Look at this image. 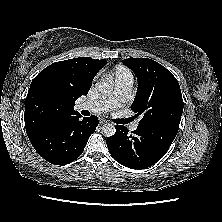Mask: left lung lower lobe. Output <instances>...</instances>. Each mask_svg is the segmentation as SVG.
I'll return each instance as SVG.
<instances>
[{
  "label": "left lung lower lobe",
  "instance_id": "0a47b994",
  "mask_svg": "<svg viewBox=\"0 0 222 222\" xmlns=\"http://www.w3.org/2000/svg\"><path fill=\"white\" fill-rule=\"evenodd\" d=\"M178 128L170 125H145L128 133L123 125L106 143L112 157L131 169H145L158 162L168 151Z\"/></svg>",
  "mask_w": 222,
  "mask_h": 222
}]
</instances>
